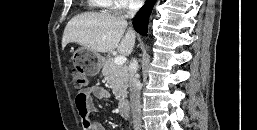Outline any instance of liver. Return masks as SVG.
Returning a JSON list of instances; mask_svg holds the SVG:
<instances>
[{
    "mask_svg": "<svg viewBox=\"0 0 257 130\" xmlns=\"http://www.w3.org/2000/svg\"><path fill=\"white\" fill-rule=\"evenodd\" d=\"M127 25L121 16L102 13L77 15L65 27L62 48L74 42L97 53L117 49L121 55L128 56L135 45V32L131 28L127 29Z\"/></svg>",
    "mask_w": 257,
    "mask_h": 130,
    "instance_id": "6515ba94",
    "label": "liver"
}]
</instances>
